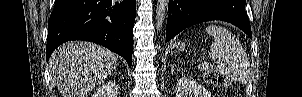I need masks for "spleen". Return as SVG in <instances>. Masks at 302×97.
<instances>
[{
	"mask_svg": "<svg viewBox=\"0 0 302 97\" xmlns=\"http://www.w3.org/2000/svg\"><path fill=\"white\" fill-rule=\"evenodd\" d=\"M205 32L213 37L209 56L220 63L209 66L208 62L198 65L199 70L206 71L210 67L218 73L230 77L234 81L245 84L249 79V61L239 40L225 27L210 25Z\"/></svg>",
	"mask_w": 302,
	"mask_h": 97,
	"instance_id": "1",
	"label": "spleen"
}]
</instances>
